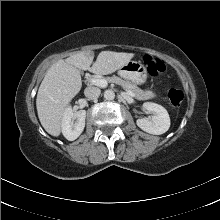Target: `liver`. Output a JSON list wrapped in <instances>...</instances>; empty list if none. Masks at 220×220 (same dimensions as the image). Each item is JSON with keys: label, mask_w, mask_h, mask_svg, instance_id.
Returning <instances> with one entry per match:
<instances>
[{"label": "liver", "mask_w": 220, "mask_h": 220, "mask_svg": "<svg viewBox=\"0 0 220 220\" xmlns=\"http://www.w3.org/2000/svg\"><path fill=\"white\" fill-rule=\"evenodd\" d=\"M134 53L102 51L91 66L94 52H78L53 64L39 87L36 107L41 125L52 136H59L63 115L82 87L80 70L98 75L111 74L133 57Z\"/></svg>", "instance_id": "liver-1"}]
</instances>
